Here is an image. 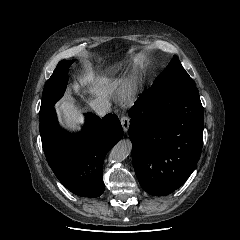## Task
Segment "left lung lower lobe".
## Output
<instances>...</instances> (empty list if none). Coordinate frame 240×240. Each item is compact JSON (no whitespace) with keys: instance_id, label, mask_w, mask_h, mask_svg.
<instances>
[{"instance_id":"1","label":"left lung lower lobe","mask_w":240,"mask_h":240,"mask_svg":"<svg viewBox=\"0 0 240 240\" xmlns=\"http://www.w3.org/2000/svg\"><path fill=\"white\" fill-rule=\"evenodd\" d=\"M128 115L133 166L141 187L154 196L172 193L192 174L202 150L204 117L197 87H151Z\"/></svg>"}]
</instances>
